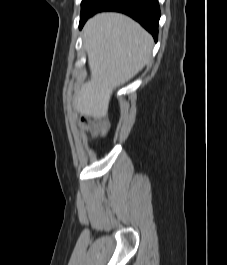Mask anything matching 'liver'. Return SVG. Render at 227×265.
<instances>
[{"label":"liver","mask_w":227,"mask_h":265,"mask_svg":"<svg viewBox=\"0 0 227 265\" xmlns=\"http://www.w3.org/2000/svg\"><path fill=\"white\" fill-rule=\"evenodd\" d=\"M91 80L76 89L74 108L95 118L106 116L112 92L149 61L152 36L131 18L113 12L92 17L83 29Z\"/></svg>","instance_id":"6515ba94"}]
</instances>
